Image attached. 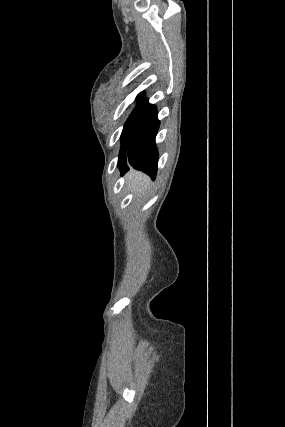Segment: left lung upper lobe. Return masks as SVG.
Returning <instances> with one entry per match:
<instances>
[{"instance_id":"obj_1","label":"left lung upper lobe","mask_w":285,"mask_h":427,"mask_svg":"<svg viewBox=\"0 0 285 427\" xmlns=\"http://www.w3.org/2000/svg\"><path fill=\"white\" fill-rule=\"evenodd\" d=\"M142 93L138 94L137 98H140ZM148 101L147 99H144L142 101H140L137 106L135 107V109L133 110V112L131 113V115L129 116V118L127 119L125 125H124V129L123 131L127 128V126L143 111V109L148 105Z\"/></svg>"}]
</instances>
